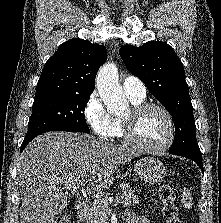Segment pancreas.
I'll return each mask as SVG.
<instances>
[{
	"label": "pancreas",
	"instance_id": "pancreas-1",
	"mask_svg": "<svg viewBox=\"0 0 221 223\" xmlns=\"http://www.w3.org/2000/svg\"><path fill=\"white\" fill-rule=\"evenodd\" d=\"M138 200L139 197L134 193L132 188L126 184L120 194L122 206H134L138 203ZM109 215L108 198L104 197L101 200H96L92 203L86 218V223H108Z\"/></svg>",
	"mask_w": 221,
	"mask_h": 223
}]
</instances>
